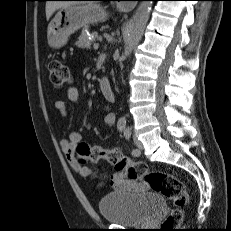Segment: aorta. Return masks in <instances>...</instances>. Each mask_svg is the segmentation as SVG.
<instances>
[{
    "mask_svg": "<svg viewBox=\"0 0 231 231\" xmlns=\"http://www.w3.org/2000/svg\"><path fill=\"white\" fill-rule=\"evenodd\" d=\"M151 7V1H142L137 8L129 25L124 58L129 56L132 50L138 45L149 20ZM122 119L125 118L123 117Z\"/></svg>",
    "mask_w": 231,
    "mask_h": 231,
    "instance_id": "aorta-1",
    "label": "aorta"
}]
</instances>
